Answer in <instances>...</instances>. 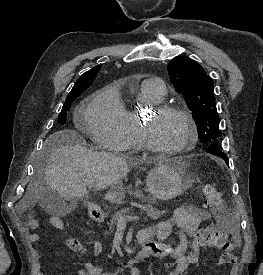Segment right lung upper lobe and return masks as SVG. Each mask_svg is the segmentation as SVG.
Instances as JSON below:
<instances>
[{
  "instance_id": "1",
  "label": "right lung upper lobe",
  "mask_w": 263,
  "mask_h": 275,
  "mask_svg": "<svg viewBox=\"0 0 263 275\" xmlns=\"http://www.w3.org/2000/svg\"><path fill=\"white\" fill-rule=\"evenodd\" d=\"M100 70V65L92 68L91 70L82 74L78 80L76 81L74 87L72 88L70 94H73L81 89L88 88L94 81L95 77L97 76Z\"/></svg>"
}]
</instances>
